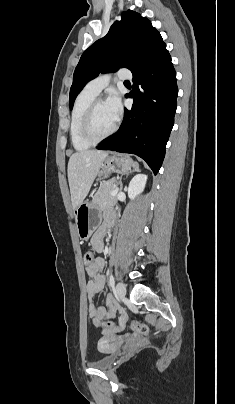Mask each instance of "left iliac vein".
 <instances>
[{"mask_svg": "<svg viewBox=\"0 0 235 404\" xmlns=\"http://www.w3.org/2000/svg\"><path fill=\"white\" fill-rule=\"evenodd\" d=\"M117 297L122 300L126 296V287L122 282H118L115 287Z\"/></svg>", "mask_w": 235, "mask_h": 404, "instance_id": "4c4485c4", "label": "left iliac vein"}]
</instances>
